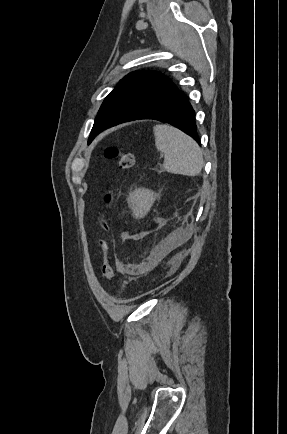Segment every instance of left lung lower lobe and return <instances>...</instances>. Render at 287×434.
I'll use <instances>...</instances> for the list:
<instances>
[{
    "label": "left lung lower lobe",
    "mask_w": 287,
    "mask_h": 434,
    "mask_svg": "<svg viewBox=\"0 0 287 434\" xmlns=\"http://www.w3.org/2000/svg\"><path fill=\"white\" fill-rule=\"evenodd\" d=\"M137 119H155L166 122L182 130L200 144L194 110L187 96L180 90L137 111L127 121Z\"/></svg>",
    "instance_id": "left-lung-lower-lobe-1"
}]
</instances>
